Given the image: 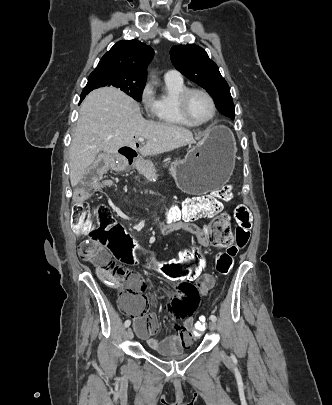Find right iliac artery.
I'll list each match as a JSON object with an SVG mask.
<instances>
[{
  "instance_id": "right-iliac-artery-1",
  "label": "right iliac artery",
  "mask_w": 332,
  "mask_h": 405,
  "mask_svg": "<svg viewBox=\"0 0 332 405\" xmlns=\"http://www.w3.org/2000/svg\"><path fill=\"white\" fill-rule=\"evenodd\" d=\"M130 324H131V321H130V320H126L125 323H124V326H125V327H129Z\"/></svg>"
}]
</instances>
